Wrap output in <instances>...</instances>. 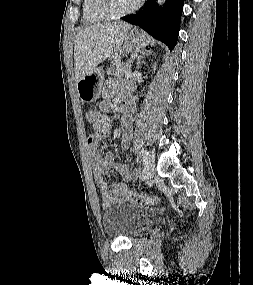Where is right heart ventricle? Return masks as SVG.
<instances>
[{"label": "right heart ventricle", "mask_w": 253, "mask_h": 285, "mask_svg": "<svg viewBox=\"0 0 253 285\" xmlns=\"http://www.w3.org/2000/svg\"><path fill=\"white\" fill-rule=\"evenodd\" d=\"M83 20L85 23H99L104 20V18L97 15L92 9V1L91 0H83Z\"/></svg>", "instance_id": "obj_1"}]
</instances>
